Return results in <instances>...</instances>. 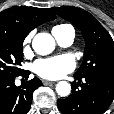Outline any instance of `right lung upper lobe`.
I'll use <instances>...</instances> for the list:
<instances>
[{"instance_id": "right-lung-upper-lobe-1", "label": "right lung upper lobe", "mask_w": 114, "mask_h": 114, "mask_svg": "<svg viewBox=\"0 0 114 114\" xmlns=\"http://www.w3.org/2000/svg\"><path fill=\"white\" fill-rule=\"evenodd\" d=\"M55 18L47 8L14 6L0 12V33L24 40L34 28Z\"/></svg>"}]
</instances>
